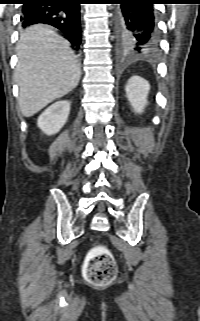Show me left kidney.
<instances>
[{
    "label": "left kidney",
    "instance_id": "5707ae66",
    "mask_svg": "<svg viewBox=\"0 0 200 321\" xmlns=\"http://www.w3.org/2000/svg\"><path fill=\"white\" fill-rule=\"evenodd\" d=\"M125 90L133 110L136 113H142L148 103L149 82L140 76L134 75L128 80Z\"/></svg>",
    "mask_w": 200,
    "mask_h": 321
}]
</instances>
